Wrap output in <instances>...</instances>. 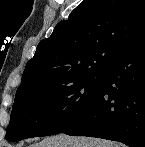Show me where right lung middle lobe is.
Segmentation results:
<instances>
[{
    "label": "right lung middle lobe",
    "mask_w": 145,
    "mask_h": 147,
    "mask_svg": "<svg viewBox=\"0 0 145 147\" xmlns=\"http://www.w3.org/2000/svg\"><path fill=\"white\" fill-rule=\"evenodd\" d=\"M101 73L87 74L54 90L42 88L16 94L6 139L49 136L65 131L96 96Z\"/></svg>",
    "instance_id": "right-lung-middle-lobe-1"
}]
</instances>
